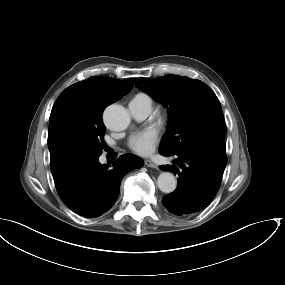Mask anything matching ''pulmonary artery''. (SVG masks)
<instances>
[{"label": "pulmonary artery", "mask_w": 285, "mask_h": 285, "mask_svg": "<svg viewBox=\"0 0 285 285\" xmlns=\"http://www.w3.org/2000/svg\"><path fill=\"white\" fill-rule=\"evenodd\" d=\"M128 109L134 119L142 120L152 111L151 99L146 94H138L129 101Z\"/></svg>", "instance_id": "pulmonary-artery-1"}]
</instances>
